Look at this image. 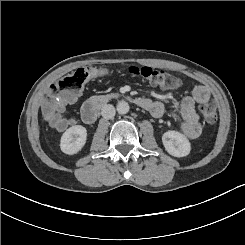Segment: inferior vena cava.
Instances as JSON below:
<instances>
[{
  "label": "inferior vena cava",
  "mask_w": 245,
  "mask_h": 245,
  "mask_svg": "<svg viewBox=\"0 0 245 245\" xmlns=\"http://www.w3.org/2000/svg\"><path fill=\"white\" fill-rule=\"evenodd\" d=\"M101 115L104 119H112L115 116V108L111 104H106L101 109Z\"/></svg>",
  "instance_id": "602c4592"
}]
</instances>
